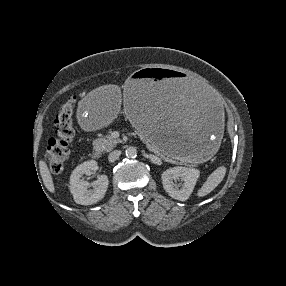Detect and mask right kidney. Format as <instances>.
I'll use <instances>...</instances> for the list:
<instances>
[{
  "label": "right kidney",
  "instance_id": "right-kidney-1",
  "mask_svg": "<svg viewBox=\"0 0 286 286\" xmlns=\"http://www.w3.org/2000/svg\"><path fill=\"white\" fill-rule=\"evenodd\" d=\"M98 164L95 160L86 161L78 165L70 176L69 188L74 201L81 205H91L100 201L108 188L109 180L106 175H101L93 183H88L81 179L83 174L96 171ZM92 186L93 189H88Z\"/></svg>",
  "mask_w": 286,
  "mask_h": 286
}]
</instances>
